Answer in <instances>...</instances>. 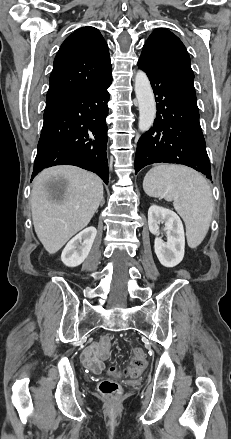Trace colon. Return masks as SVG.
<instances>
[{"label": "colon", "mask_w": 231, "mask_h": 439, "mask_svg": "<svg viewBox=\"0 0 231 439\" xmlns=\"http://www.w3.org/2000/svg\"><path fill=\"white\" fill-rule=\"evenodd\" d=\"M111 350V341L109 337L105 336L100 341L99 354L101 358L106 359ZM147 367L146 354L141 348H135L132 352L130 366L126 369V374L129 377H137ZM115 367H110L109 371L113 372ZM99 392L108 398L117 397L121 392V386L118 382L110 378H102L98 382Z\"/></svg>", "instance_id": "5ec220e1"}]
</instances>
